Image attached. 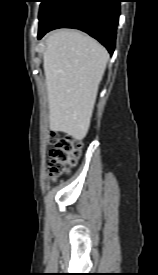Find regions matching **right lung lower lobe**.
I'll return each mask as SVG.
<instances>
[{
	"label": "right lung lower lobe",
	"instance_id": "right-lung-lower-lobe-1",
	"mask_svg": "<svg viewBox=\"0 0 158 275\" xmlns=\"http://www.w3.org/2000/svg\"><path fill=\"white\" fill-rule=\"evenodd\" d=\"M121 0H58L39 21L38 38L56 28H75L96 38L109 51L115 48Z\"/></svg>",
	"mask_w": 158,
	"mask_h": 275
}]
</instances>
